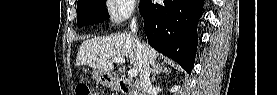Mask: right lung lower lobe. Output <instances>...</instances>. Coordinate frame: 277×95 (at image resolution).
<instances>
[{
  "label": "right lung lower lobe",
  "instance_id": "obj_1",
  "mask_svg": "<svg viewBox=\"0 0 277 95\" xmlns=\"http://www.w3.org/2000/svg\"><path fill=\"white\" fill-rule=\"evenodd\" d=\"M204 0H140L139 11L149 44L191 74L197 50V22Z\"/></svg>",
  "mask_w": 277,
  "mask_h": 95
}]
</instances>
